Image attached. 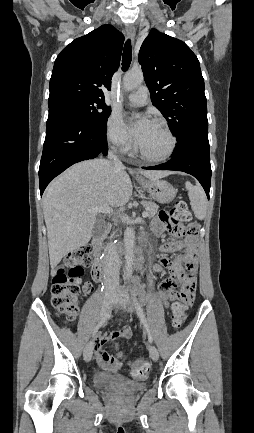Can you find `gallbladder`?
Wrapping results in <instances>:
<instances>
[{"mask_svg":"<svg viewBox=\"0 0 254 433\" xmlns=\"http://www.w3.org/2000/svg\"><path fill=\"white\" fill-rule=\"evenodd\" d=\"M105 231H106L105 223L101 220H97L93 227V233H92L93 236L100 238L105 234Z\"/></svg>","mask_w":254,"mask_h":433,"instance_id":"obj_1","label":"gallbladder"}]
</instances>
